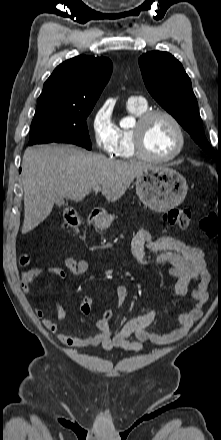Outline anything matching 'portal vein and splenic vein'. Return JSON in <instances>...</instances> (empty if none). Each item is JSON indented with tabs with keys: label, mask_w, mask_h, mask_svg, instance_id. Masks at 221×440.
I'll use <instances>...</instances> for the list:
<instances>
[{
	"label": "portal vein and splenic vein",
	"mask_w": 221,
	"mask_h": 440,
	"mask_svg": "<svg viewBox=\"0 0 221 440\" xmlns=\"http://www.w3.org/2000/svg\"><path fill=\"white\" fill-rule=\"evenodd\" d=\"M93 190H94L95 192H98V191H100V187H99V186H96V187L93 188Z\"/></svg>",
	"instance_id": "18ae733b"
}]
</instances>
